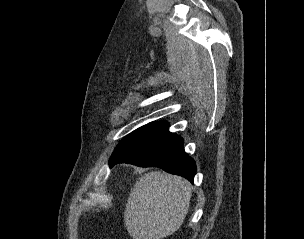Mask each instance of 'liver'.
<instances>
[{
    "label": "liver",
    "mask_w": 304,
    "mask_h": 239,
    "mask_svg": "<svg viewBox=\"0 0 304 239\" xmlns=\"http://www.w3.org/2000/svg\"><path fill=\"white\" fill-rule=\"evenodd\" d=\"M191 184L180 176L152 171L132 188L124 222L133 239H162L177 231L189 208Z\"/></svg>",
    "instance_id": "1"
}]
</instances>
